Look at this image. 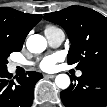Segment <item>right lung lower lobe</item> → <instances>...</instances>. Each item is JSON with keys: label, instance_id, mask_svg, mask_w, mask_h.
Listing matches in <instances>:
<instances>
[{"label": "right lung lower lobe", "instance_id": "obj_1", "mask_svg": "<svg viewBox=\"0 0 107 107\" xmlns=\"http://www.w3.org/2000/svg\"><path fill=\"white\" fill-rule=\"evenodd\" d=\"M41 73L29 71L16 77L14 81L7 69L0 70V106L30 107L33 102V90Z\"/></svg>", "mask_w": 107, "mask_h": 107}]
</instances>
